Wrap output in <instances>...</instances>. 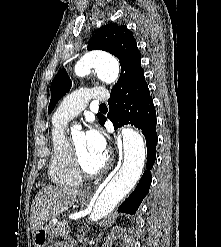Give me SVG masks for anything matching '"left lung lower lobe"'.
I'll return each mask as SVG.
<instances>
[{
	"label": "left lung lower lobe",
	"mask_w": 221,
	"mask_h": 247,
	"mask_svg": "<svg viewBox=\"0 0 221 247\" xmlns=\"http://www.w3.org/2000/svg\"><path fill=\"white\" fill-rule=\"evenodd\" d=\"M110 111L107 117L112 121L115 130L124 124L134 125L140 129L146 138L147 144V170L144 172L139 184L130 196L118 208L119 212L135 214L143 198L148 194L151 184V172L156 158V112L149 89L139 94L121 97L110 95L108 100ZM106 118L103 116L101 124Z\"/></svg>",
	"instance_id": "1"
}]
</instances>
